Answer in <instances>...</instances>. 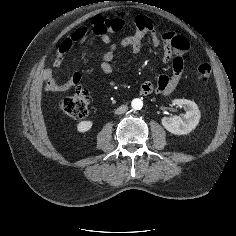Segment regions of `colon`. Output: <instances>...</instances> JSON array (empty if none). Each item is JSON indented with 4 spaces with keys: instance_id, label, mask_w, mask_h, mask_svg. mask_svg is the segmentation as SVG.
Listing matches in <instances>:
<instances>
[{
    "instance_id": "1",
    "label": "colon",
    "mask_w": 236,
    "mask_h": 236,
    "mask_svg": "<svg viewBox=\"0 0 236 236\" xmlns=\"http://www.w3.org/2000/svg\"><path fill=\"white\" fill-rule=\"evenodd\" d=\"M144 16H137L135 23L143 20ZM127 25V21L122 16H116L113 19H106L103 17H95L91 21V28L94 30L97 27H101L103 31L118 32L124 29ZM88 27L78 29L73 35L76 37L84 34ZM198 80L206 82L211 76V67L209 64H201L196 71ZM90 104V98L88 92L85 89H78L73 95L66 96L60 100V109L63 113L72 119H83L88 113Z\"/></svg>"
}]
</instances>
